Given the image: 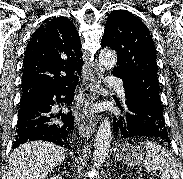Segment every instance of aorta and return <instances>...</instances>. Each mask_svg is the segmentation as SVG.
I'll return each instance as SVG.
<instances>
[{"instance_id":"aorta-1","label":"aorta","mask_w":183,"mask_h":179,"mask_svg":"<svg viewBox=\"0 0 183 179\" xmlns=\"http://www.w3.org/2000/svg\"><path fill=\"white\" fill-rule=\"evenodd\" d=\"M99 61L105 69L111 70L116 66L117 57L113 50L103 49L100 52ZM111 140V123L108 118H105L100 123L94 144L93 160L96 167H100L104 163L110 149Z\"/></svg>"}]
</instances>
